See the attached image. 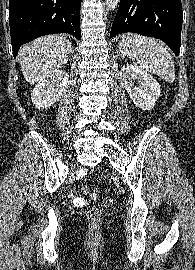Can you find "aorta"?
Instances as JSON below:
<instances>
[{
  "label": "aorta",
  "mask_w": 195,
  "mask_h": 270,
  "mask_svg": "<svg viewBox=\"0 0 195 270\" xmlns=\"http://www.w3.org/2000/svg\"><path fill=\"white\" fill-rule=\"evenodd\" d=\"M120 0H105L108 10H114L118 6Z\"/></svg>",
  "instance_id": "obj_1"
}]
</instances>
